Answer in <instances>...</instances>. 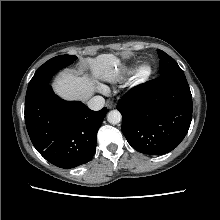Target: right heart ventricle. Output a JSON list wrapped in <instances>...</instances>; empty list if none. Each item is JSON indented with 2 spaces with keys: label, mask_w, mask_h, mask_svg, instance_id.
Returning a JSON list of instances; mask_svg holds the SVG:
<instances>
[{
  "label": "right heart ventricle",
  "mask_w": 220,
  "mask_h": 220,
  "mask_svg": "<svg viewBox=\"0 0 220 220\" xmlns=\"http://www.w3.org/2000/svg\"><path fill=\"white\" fill-rule=\"evenodd\" d=\"M130 71H131V68H128V69H127V72L129 73Z\"/></svg>",
  "instance_id": "obj_1"
}]
</instances>
